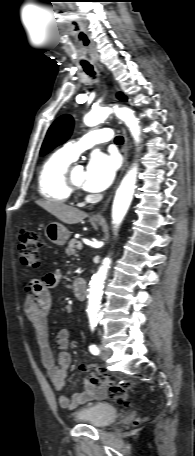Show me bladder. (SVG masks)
Returning a JSON list of instances; mask_svg holds the SVG:
<instances>
[{"instance_id":"1","label":"bladder","mask_w":195,"mask_h":456,"mask_svg":"<svg viewBox=\"0 0 195 456\" xmlns=\"http://www.w3.org/2000/svg\"><path fill=\"white\" fill-rule=\"evenodd\" d=\"M118 416V410L106 402L88 405L73 413L74 420L95 428H105L111 425Z\"/></svg>"}]
</instances>
